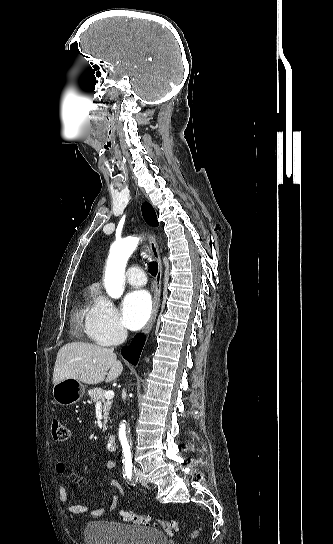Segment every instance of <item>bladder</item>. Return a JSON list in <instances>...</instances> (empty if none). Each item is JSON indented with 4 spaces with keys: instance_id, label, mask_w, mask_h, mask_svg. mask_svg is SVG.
I'll use <instances>...</instances> for the list:
<instances>
[{
    "instance_id": "1",
    "label": "bladder",
    "mask_w": 333,
    "mask_h": 544,
    "mask_svg": "<svg viewBox=\"0 0 333 544\" xmlns=\"http://www.w3.org/2000/svg\"><path fill=\"white\" fill-rule=\"evenodd\" d=\"M83 538L86 544H169L166 534L158 529L114 521L89 522Z\"/></svg>"
}]
</instances>
